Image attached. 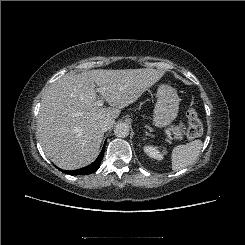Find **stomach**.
<instances>
[{"mask_svg":"<svg viewBox=\"0 0 245 245\" xmlns=\"http://www.w3.org/2000/svg\"><path fill=\"white\" fill-rule=\"evenodd\" d=\"M179 101L174 88L168 85L159 86L152 119L153 124L159 128L170 125L178 115Z\"/></svg>","mask_w":245,"mask_h":245,"instance_id":"0dacf381","label":"stomach"}]
</instances>
